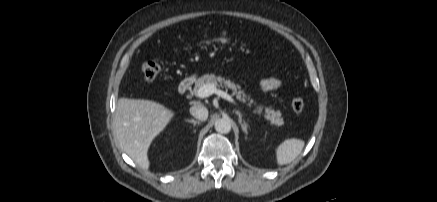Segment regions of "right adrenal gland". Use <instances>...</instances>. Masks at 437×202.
Listing matches in <instances>:
<instances>
[{
    "label": "right adrenal gland",
    "mask_w": 437,
    "mask_h": 202,
    "mask_svg": "<svg viewBox=\"0 0 437 202\" xmlns=\"http://www.w3.org/2000/svg\"><path fill=\"white\" fill-rule=\"evenodd\" d=\"M185 121L188 122V123H192L193 126H196L197 124H200L199 121H196L194 119H186Z\"/></svg>",
    "instance_id": "obj_1"
}]
</instances>
